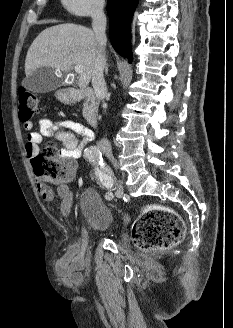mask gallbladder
Here are the masks:
<instances>
[{
  "instance_id": "bac80fb5",
  "label": "gallbladder",
  "mask_w": 233,
  "mask_h": 328,
  "mask_svg": "<svg viewBox=\"0 0 233 328\" xmlns=\"http://www.w3.org/2000/svg\"><path fill=\"white\" fill-rule=\"evenodd\" d=\"M62 83L63 78L57 75L54 68L42 66L26 76L22 84L28 91L46 93L57 89Z\"/></svg>"
}]
</instances>
